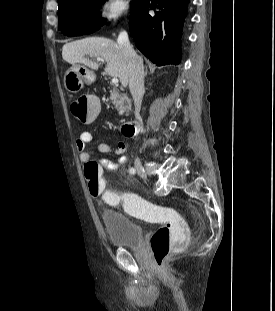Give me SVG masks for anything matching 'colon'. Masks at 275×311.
<instances>
[{"mask_svg": "<svg viewBox=\"0 0 275 311\" xmlns=\"http://www.w3.org/2000/svg\"><path fill=\"white\" fill-rule=\"evenodd\" d=\"M99 102V97H79L72 102L73 113L80 119L82 125H95V117L102 112ZM84 170L90 194L96 198L104 196V182L99 165L95 161H90ZM134 195V190H127L126 196L119 198L128 212L163 222L150 240L155 265L161 268L170 253L182 250L187 244V225L175 209L154 206ZM105 199L113 200L108 196Z\"/></svg>", "mask_w": 275, "mask_h": 311, "instance_id": "1", "label": "colon"}]
</instances>
